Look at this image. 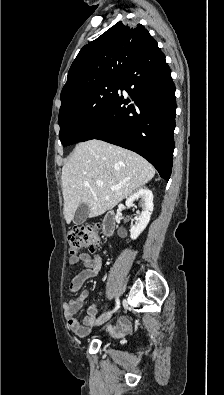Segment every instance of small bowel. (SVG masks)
Wrapping results in <instances>:
<instances>
[{"label":"small bowel","instance_id":"c3829d8e","mask_svg":"<svg viewBox=\"0 0 224 395\" xmlns=\"http://www.w3.org/2000/svg\"><path fill=\"white\" fill-rule=\"evenodd\" d=\"M69 263L71 265L81 264L84 269L71 281V292L79 293V295L75 299L64 302V315L69 329L76 335L82 337L95 325L98 309L95 304L91 305L88 309V315L84 318L83 322L81 323L77 320L75 315L82 309L89 295L87 290H81V288L87 279L97 275L101 268V258L100 256L93 257L88 253H81L70 257ZM128 329L129 326L125 318H120L114 326L110 327V331L114 335L126 334Z\"/></svg>","mask_w":224,"mask_h":395}]
</instances>
